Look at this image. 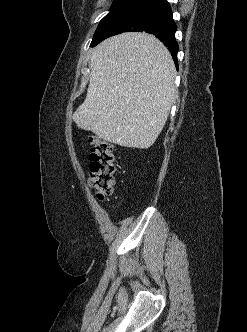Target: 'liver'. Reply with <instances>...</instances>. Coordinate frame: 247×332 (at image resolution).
I'll return each mask as SVG.
<instances>
[{"label":"liver","instance_id":"6515ba94","mask_svg":"<svg viewBox=\"0 0 247 332\" xmlns=\"http://www.w3.org/2000/svg\"><path fill=\"white\" fill-rule=\"evenodd\" d=\"M90 70L86 98L73 114L77 127L120 146H152L176 94L168 49L150 34L122 33L93 49Z\"/></svg>","mask_w":247,"mask_h":332}]
</instances>
